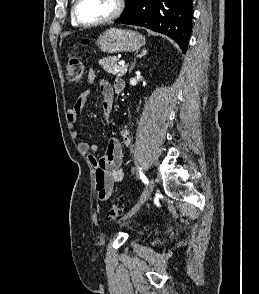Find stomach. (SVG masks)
Segmentation results:
<instances>
[{
	"label": "stomach",
	"instance_id": "obj_1",
	"mask_svg": "<svg viewBox=\"0 0 259 294\" xmlns=\"http://www.w3.org/2000/svg\"><path fill=\"white\" fill-rule=\"evenodd\" d=\"M96 44L108 54L135 52L145 44V39L135 31L110 28L98 37Z\"/></svg>",
	"mask_w": 259,
	"mask_h": 294
}]
</instances>
